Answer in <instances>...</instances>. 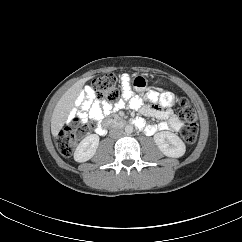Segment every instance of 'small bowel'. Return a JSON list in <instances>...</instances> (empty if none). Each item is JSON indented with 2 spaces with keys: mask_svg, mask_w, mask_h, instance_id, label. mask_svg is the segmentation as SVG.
I'll return each instance as SVG.
<instances>
[{
  "mask_svg": "<svg viewBox=\"0 0 242 242\" xmlns=\"http://www.w3.org/2000/svg\"><path fill=\"white\" fill-rule=\"evenodd\" d=\"M145 98L156 105H144L142 99L131 91L128 79L122 76V97L114 106L97 100L91 89H85L77 100V105L81 110H74L70 114L68 121H71L75 116L81 117L85 122L90 119L94 123V131L97 134H102L104 129V124L102 125L103 118L128 106L146 117L164 120V122L158 125H153L146 124L142 118H136L135 125L146 134H153L158 130L167 129L178 131L181 128V120L170 108L175 102V97L171 92L159 93L150 90L146 93Z\"/></svg>",
  "mask_w": 242,
  "mask_h": 242,
  "instance_id": "obj_1",
  "label": "small bowel"
}]
</instances>
